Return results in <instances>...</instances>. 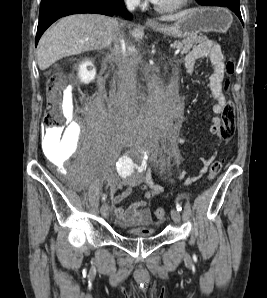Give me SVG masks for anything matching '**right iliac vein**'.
I'll return each mask as SVG.
<instances>
[{"mask_svg": "<svg viewBox=\"0 0 267 298\" xmlns=\"http://www.w3.org/2000/svg\"><path fill=\"white\" fill-rule=\"evenodd\" d=\"M100 212L103 217H107L109 215V205L107 203H103L100 208Z\"/></svg>", "mask_w": 267, "mask_h": 298, "instance_id": "obj_1", "label": "right iliac vein"}]
</instances>
